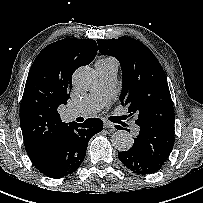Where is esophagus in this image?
Returning a JSON list of instances; mask_svg holds the SVG:
<instances>
[{"label": "esophagus", "instance_id": "esophagus-1", "mask_svg": "<svg viewBox=\"0 0 203 203\" xmlns=\"http://www.w3.org/2000/svg\"><path fill=\"white\" fill-rule=\"evenodd\" d=\"M103 123H104V127L105 128H108V129H111V130H115L113 123H111L109 121H106V120H104Z\"/></svg>", "mask_w": 203, "mask_h": 203}]
</instances>
